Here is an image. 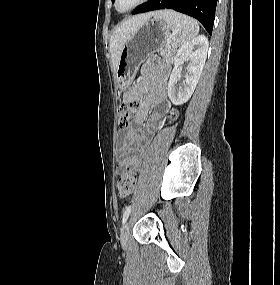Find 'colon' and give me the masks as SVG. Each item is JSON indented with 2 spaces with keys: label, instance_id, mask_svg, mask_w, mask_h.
Returning <instances> with one entry per match:
<instances>
[{
  "label": "colon",
  "instance_id": "colon-1",
  "mask_svg": "<svg viewBox=\"0 0 280 285\" xmlns=\"http://www.w3.org/2000/svg\"><path fill=\"white\" fill-rule=\"evenodd\" d=\"M137 111V104L135 102H126L118 107V127L126 129L130 126ZM176 112L171 111L170 118H176ZM136 178L133 174L124 171L121 172L117 182V189L120 196L129 195L135 188Z\"/></svg>",
  "mask_w": 280,
  "mask_h": 285
}]
</instances>
